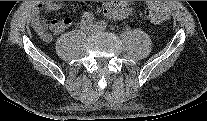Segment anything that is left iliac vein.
Instances as JSON below:
<instances>
[{"instance_id":"obj_1","label":"left iliac vein","mask_w":207,"mask_h":121,"mask_svg":"<svg viewBox=\"0 0 207 121\" xmlns=\"http://www.w3.org/2000/svg\"><path fill=\"white\" fill-rule=\"evenodd\" d=\"M94 30H96V31H102V30H104V29L100 28L99 26H96V27L94 28Z\"/></svg>"}]
</instances>
